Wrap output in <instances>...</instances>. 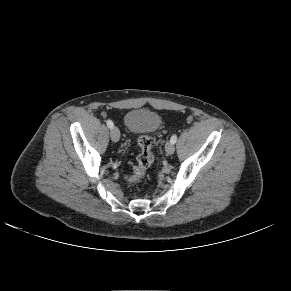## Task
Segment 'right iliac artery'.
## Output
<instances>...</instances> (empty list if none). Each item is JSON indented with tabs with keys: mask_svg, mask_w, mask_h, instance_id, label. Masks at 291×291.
<instances>
[{
	"mask_svg": "<svg viewBox=\"0 0 291 291\" xmlns=\"http://www.w3.org/2000/svg\"><path fill=\"white\" fill-rule=\"evenodd\" d=\"M106 124H107V126H108L110 129H112L113 126H114V124H113V122H112L111 120H107V121H106Z\"/></svg>",
	"mask_w": 291,
	"mask_h": 291,
	"instance_id": "1",
	"label": "right iliac artery"
}]
</instances>
